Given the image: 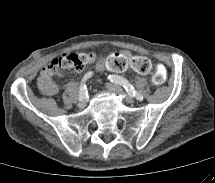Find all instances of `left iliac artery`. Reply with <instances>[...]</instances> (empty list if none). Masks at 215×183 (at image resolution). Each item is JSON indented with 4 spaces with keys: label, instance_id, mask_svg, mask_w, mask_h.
<instances>
[{
    "label": "left iliac artery",
    "instance_id": "left-iliac-artery-1",
    "mask_svg": "<svg viewBox=\"0 0 215 183\" xmlns=\"http://www.w3.org/2000/svg\"><path fill=\"white\" fill-rule=\"evenodd\" d=\"M108 80L123 86L130 96L136 97V99L139 101L143 100V96L140 93H138L125 78L120 77L118 75H109Z\"/></svg>",
    "mask_w": 215,
    "mask_h": 183
}]
</instances>
